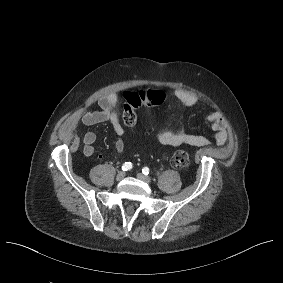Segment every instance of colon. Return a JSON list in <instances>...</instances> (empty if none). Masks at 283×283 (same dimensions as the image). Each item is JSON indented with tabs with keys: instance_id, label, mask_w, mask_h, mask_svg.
<instances>
[{
	"instance_id": "colon-1",
	"label": "colon",
	"mask_w": 283,
	"mask_h": 283,
	"mask_svg": "<svg viewBox=\"0 0 283 283\" xmlns=\"http://www.w3.org/2000/svg\"><path fill=\"white\" fill-rule=\"evenodd\" d=\"M126 103L123 108L122 119L125 125L132 126L137 121V108L141 106L160 105L165 95L160 90L141 89L139 91H128L125 94ZM190 162L189 154L185 150H177L171 158V164L175 168H184Z\"/></svg>"
}]
</instances>
